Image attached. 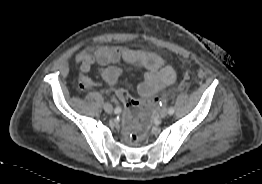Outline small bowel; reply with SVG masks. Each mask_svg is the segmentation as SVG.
<instances>
[{
	"instance_id": "obj_1",
	"label": "small bowel",
	"mask_w": 262,
	"mask_h": 184,
	"mask_svg": "<svg viewBox=\"0 0 262 184\" xmlns=\"http://www.w3.org/2000/svg\"><path fill=\"white\" fill-rule=\"evenodd\" d=\"M124 61L136 69L144 70V77L137 89L142 96H151L162 88L171 85L176 77L171 66H165L162 58L155 54L127 47L100 46L88 48L75 55V62L81 66L83 88L98 86L102 81L115 85L121 76V69L116 65ZM97 63L103 68L97 70L95 77L87 74Z\"/></svg>"
}]
</instances>
